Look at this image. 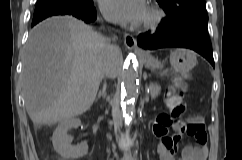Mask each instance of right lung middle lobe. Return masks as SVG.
<instances>
[{
	"instance_id": "dd1d6c3e",
	"label": "right lung middle lobe",
	"mask_w": 242,
	"mask_h": 160,
	"mask_svg": "<svg viewBox=\"0 0 242 160\" xmlns=\"http://www.w3.org/2000/svg\"><path fill=\"white\" fill-rule=\"evenodd\" d=\"M92 6V0H37L34 14L57 7L67 9H85Z\"/></svg>"
}]
</instances>
